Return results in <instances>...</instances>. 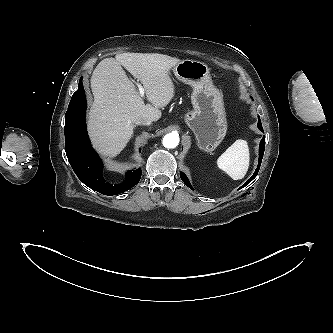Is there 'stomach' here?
Masks as SVG:
<instances>
[{
	"label": "stomach",
	"instance_id": "1",
	"mask_svg": "<svg viewBox=\"0 0 333 333\" xmlns=\"http://www.w3.org/2000/svg\"><path fill=\"white\" fill-rule=\"evenodd\" d=\"M175 76L193 88V110L185 122L195 134L200 149L211 152L221 143L227 131L223 95L217 89L208 66L196 60H182L173 69Z\"/></svg>",
	"mask_w": 333,
	"mask_h": 333
}]
</instances>
